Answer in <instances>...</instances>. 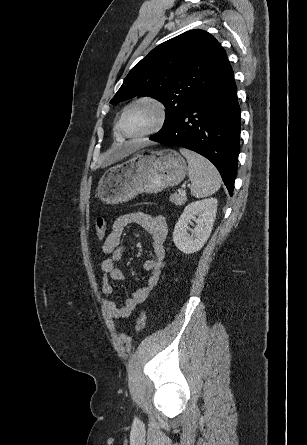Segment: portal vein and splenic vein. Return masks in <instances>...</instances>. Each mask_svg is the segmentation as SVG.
Masks as SVG:
<instances>
[{"mask_svg": "<svg viewBox=\"0 0 307 445\" xmlns=\"http://www.w3.org/2000/svg\"><path fill=\"white\" fill-rule=\"evenodd\" d=\"M186 186H190V184H183L182 188H186ZM182 192L185 194V190H182Z\"/></svg>", "mask_w": 307, "mask_h": 445, "instance_id": "obj_1", "label": "portal vein and splenic vein"}]
</instances>
